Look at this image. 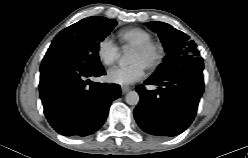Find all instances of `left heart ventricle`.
I'll return each instance as SVG.
<instances>
[{"instance_id":"1","label":"left heart ventricle","mask_w":248,"mask_h":158,"mask_svg":"<svg viewBox=\"0 0 248 158\" xmlns=\"http://www.w3.org/2000/svg\"><path fill=\"white\" fill-rule=\"evenodd\" d=\"M150 60H151V56L149 54L141 53V52H138L137 50H133L131 54V58H130V63L140 62L145 67H147Z\"/></svg>"}]
</instances>
